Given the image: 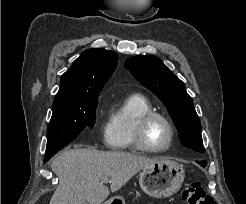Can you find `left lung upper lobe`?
Segmentation results:
<instances>
[{"instance_id": "5c2ea615", "label": "left lung upper lobe", "mask_w": 246, "mask_h": 204, "mask_svg": "<svg viewBox=\"0 0 246 204\" xmlns=\"http://www.w3.org/2000/svg\"><path fill=\"white\" fill-rule=\"evenodd\" d=\"M124 67L164 103L176 125L180 142L194 151L204 152L200 119L184 83L154 56L131 57Z\"/></svg>"}]
</instances>
